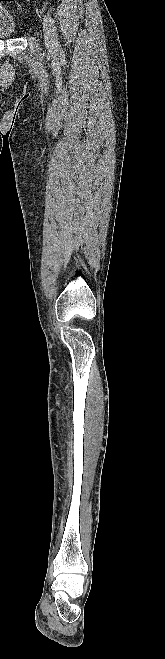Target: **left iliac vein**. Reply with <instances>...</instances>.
<instances>
[{
    "mask_svg": "<svg viewBox=\"0 0 165 659\" xmlns=\"http://www.w3.org/2000/svg\"><path fill=\"white\" fill-rule=\"evenodd\" d=\"M43 32H44V38H45L46 44H48V45L53 44L54 43V38L52 36L50 27L48 26L47 23L43 24Z\"/></svg>",
    "mask_w": 165,
    "mask_h": 659,
    "instance_id": "1",
    "label": "left iliac vein"
}]
</instances>
